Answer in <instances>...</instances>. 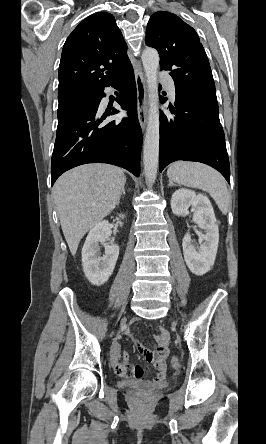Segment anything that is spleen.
<instances>
[{
  "instance_id": "1",
  "label": "spleen",
  "mask_w": 266,
  "mask_h": 444,
  "mask_svg": "<svg viewBox=\"0 0 266 444\" xmlns=\"http://www.w3.org/2000/svg\"><path fill=\"white\" fill-rule=\"evenodd\" d=\"M171 181L208 192L220 211H228L230 196L222 175L213 168L198 162L177 161L167 170Z\"/></svg>"
}]
</instances>
